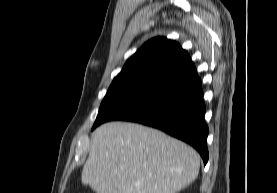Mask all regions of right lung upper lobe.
Returning <instances> with one entry per match:
<instances>
[{
  "instance_id": "cb5924a9",
  "label": "right lung upper lobe",
  "mask_w": 277,
  "mask_h": 193,
  "mask_svg": "<svg viewBox=\"0 0 277 193\" xmlns=\"http://www.w3.org/2000/svg\"><path fill=\"white\" fill-rule=\"evenodd\" d=\"M194 73L193 62L178 43L157 37L146 42L128 59L109 89L151 93Z\"/></svg>"
}]
</instances>
